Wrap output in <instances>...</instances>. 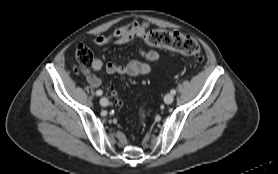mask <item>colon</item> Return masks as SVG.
I'll use <instances>...</instances> for the list:
<instances>
[{
    "mask_svg": "<svg viewBox=\"0 0 278 174\" xmlns=\"http://www.w3.org/2000/svg\"><path fill=\"white\" fill-rule=\"evenodd\" d=\"M145 42L150 46L166 48L185 56L190 57L195 64L202 62V51L199 43L191 36L163 29H153L146 33ZM92 52L84 44H78L75 49L76 64L81 69H87L92 64ZM109 94L115 98L117 104H121L117 93L113 88L109 89ZM146 118L144 110L140 111L138 120L132 125V130L141 124Z\"/></svg>",
    "mask_w": 278,
    "mask_h": 174,
    "instance_id": "obj_1",
    "label": "colon"
}]
</instances>
